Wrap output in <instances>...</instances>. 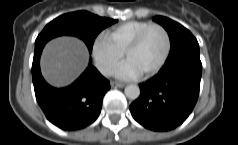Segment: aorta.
Wrapping results in <instances>:
<instances>
[{"label": "aorta", "mask_w": 238, "mask_h": 145, "mask_svg": "<svg viewBox=\"0 0 238 145\" xmlns=\"http://www.w3.org/2000/svg\"><path fill=\"white\" fill-rule=\"evenodd\" d=\"M124 92L127 98L131 100H135L140 95V88L137 85L132 84V85L126 86Z\"/></svg>", "instance_id": "obj_1"}]
</instances>
